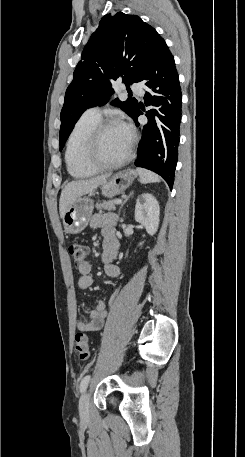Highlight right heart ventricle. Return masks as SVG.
Here are the masks:
<instances>
[{
    "label": "right heart ventricle",
    "mask_w": 245,
    "mask_h": 457,
    "mask_svg": "<svg viewBox=\"0 0 245 457\" xmlns=\"http://www.w3.org/2000/svg\"><path fill=\"white\" fill-rule=\"evenodd\" d=\"M99 121V117L84 114L75 123L68 137L66 147V163L69 173L75 178H83L89 176L92 173V171L80 164L79 154L84 147L88 132Z\"/></svg>",
    "instance_id": "e07e8e85"
}]
</instances>
